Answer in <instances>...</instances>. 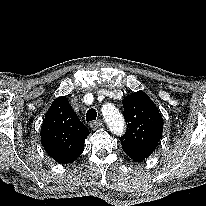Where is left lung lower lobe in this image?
Here are the masks:
<instances>
[{
  "label": "left lung lower lobe",
  "instance_id": "1",
  "mask_svg": "<svg viewBox=\"0 0 206 206\" xmlns=\"http://www.w3.org/2000/svg\"><path fill=\"white\" fill-rule=\"evenodd\" d=\"M134 161H142L150 155L145 152L126 151L125 152Z\"/></svg>",
  "mask_w": 206,
  "mask_h": 206
}]
</instances>
